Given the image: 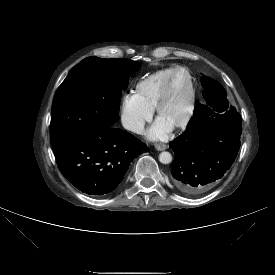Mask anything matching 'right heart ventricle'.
I'll return each mask as SVG.
<instances>
[{
	"mask_svg": "<svg viewBox=\"0 0 275 275\" xmlns=\"http://www.w3.org/2000/svg\"><path fill=\"white\" fill-rule=\"evenodd\" d=\"M173 68L168 67L158 70L136 84L134 95L141 104L151 110L154 109Z\"/></svg>",
	"mask_w": 275,
	"mask_h": 275,
	"instance_id": "e07e8e85",
	"label": "right heart ventricle"
}]
</instances>
